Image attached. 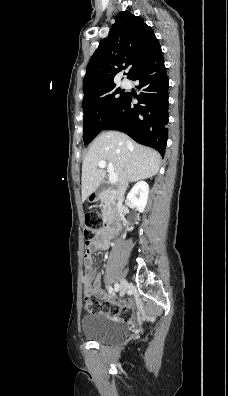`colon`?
<instances>
[{"mask_svg":"<svg viewBox=\"0 0 228 396\" xmlns=\"http://www.w3.org/2000/svg\"><path fill=\"white\" fill-rule=\"evenodd\" d=\"M85 224L84 235L87 242L93 237L94 232L100 228L101 218L95 213L88 214L85 218ZM85 308L90 314H104L113 319L122 318L127 320L131 317V309L129 307L109 301H97L89 295L85 296Z\"/></svg>","mask_w":228,"mask_h":396,"instance_id":"5ec220e1","label":"colon"}]
</instances>
